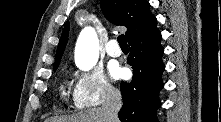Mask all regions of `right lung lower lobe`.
Returning a JSON list of instances; mask_svg holds the SVG:
<instances>
[{"mask_svg":"<svg viewBox=\"0 0 221 122\" xmlns=\"http://www.w3.org/2000/svg\"><path fill=\"white\" fill-rule=\"evenodd\" d=\"M156 22L141 35L128 41L130 57L127 63L133 68L130 83L121 82L123 106L118 113L121 122H158L156 110L161 103L158 92L163 88L161 75L164 49Z\"/></svg>","mask_w":221,"mask_h":122,"instance_id":"obj_1","label":"right lung lower lobe"}]
</instances>
